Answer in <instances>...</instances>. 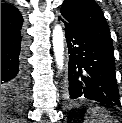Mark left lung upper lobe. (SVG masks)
<instances>
[{
  "label": "left lung upper lobe",
  "instance_id": "5c2ea615",
  "mask_svg": "<svg viewBox=\"0 0 122 123\" xmlns=\"http://www.w3.org/2000/svg\"><path fill=\"white\" fill-rule=\"evenodd\" d=\"M61 14L70 24L113 46L103 11L94 0H65L62 4Z\"/></svg>",
  "mask_w": 122,
  "mask_h": 123
}]
</instances>
